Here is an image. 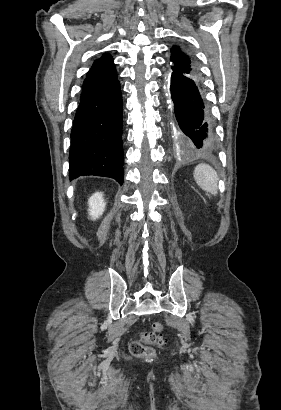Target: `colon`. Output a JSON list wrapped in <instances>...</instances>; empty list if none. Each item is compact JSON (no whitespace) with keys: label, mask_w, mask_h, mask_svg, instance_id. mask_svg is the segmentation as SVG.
<instances>
[{"label":"colon","mask_w":281,"mask_h":410,"mask_svg":"<svg viewBox=\"0 0 281 410\" xmlns=\"http://www.w3.org/2000/svg\"><path fill=\"white\" fill-rule=\"evenodd\" d=\"M164 325L160 322H153L151 329L144 328L141 332L140 339L132 340L129 344V350L132 355L137 357L149 358L154 355L152 345L162 346L166 339L163 335Z\"/></svg>","instance_id":"5ec220e1"}]
</instances>
